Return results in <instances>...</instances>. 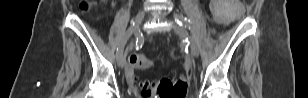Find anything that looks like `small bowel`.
<instances>
[{"instance_id":"obj_1","label":"small bowel","mask_w":308,"mask_h":98,"mask_svg":"<svg viewBox=\"0 0 308 98\" xmlns=\"http://www.w3.org/2000/svg\"><path fill=\"white\" fill-rule=\"evenodd\" d=\"M127 75H128V77L130 79H133V71H132V69H130V68L128 69Z\"/></svg>"}]
</instances>
